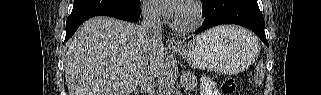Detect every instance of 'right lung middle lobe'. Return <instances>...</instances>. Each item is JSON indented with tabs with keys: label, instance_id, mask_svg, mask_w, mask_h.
Masks as SVG:
<instances>
[{
	"label": "right lung middle lobe",
	"instance_id": "obj_1",
	"mask_svg": "<svg viewBox=\"0 0 321 95\" xmlns=\"http://www.w3.org/2000/svg\"><path fill=\"white\" fill-rule=\"evenodd\" d=\"M139 8L140 0H74L72 13L102 10L130 13Z\"/></svg>",
	"mask_w": 321,
	"mask_h": 95
}]
</instances>
